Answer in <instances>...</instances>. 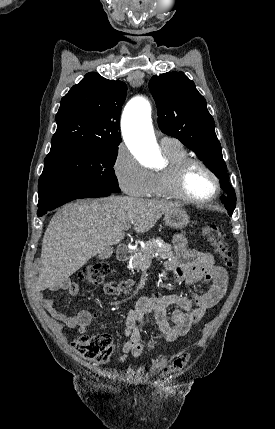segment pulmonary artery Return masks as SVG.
I'll use <instances>...</instances> for the list:
<instances>
[{
  "label": "pulmonary artery",
  "mask_w": 275,
  "mask_h": 429,
  "mask_svg": "<svg viewBox=\"0 0 275 429\" xmlns=\"http://www.w3.org/2000/svg\"><path fill=\"white\" fill-rule=\"evenodd\" d=\"M160 144L162 147H167V146L180 145V142L173 137L163 136L160 139Z\"/></svg>",
  "instance_id": "1"
}]
</instances>
